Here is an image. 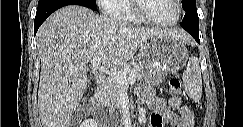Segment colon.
Returning <instances> with one entry per match:
<instances>
[{
  "mask_svg": "<svg viewBox=\"0 0 243 127\" xmlns=\"http://www.w3.org/2000/svg\"><path fill=\"white\" fill-rule=\"evenodd\" d=\"M169 91L172 96L175 97H183V93L181 91V82L178 78L173 77L169 81Z\"/></svg>",
  "mask_w": 243,
  "mask_h": 127,
  "instance_id": "obj_1",
  "label": "colon"
}]
</instances>
